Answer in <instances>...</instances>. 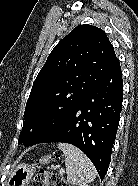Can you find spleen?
<instances>
[{"instance_id": "1", "label": "spleen", "mask_w": 138, "mask_h": 186, "mask_svg": "<svg viewBox=\"0 0 138 186\" xmlns=\"http://www.w3.org/2000/svg\"><path fill=\"white\" fill-rule=\"evenodd\" d=\"M58 148L65 155L67 181L72 185H85L92 182L97 171L90 159L77 147L59 143Z\"/></svg>"}]
</instances>
